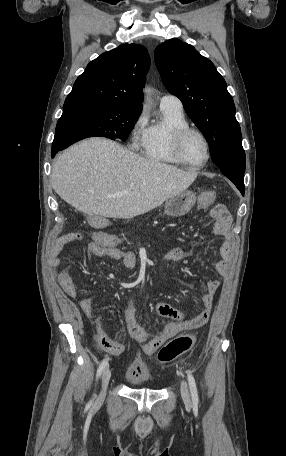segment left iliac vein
Wrapping results in <instances>:
<instances>
[{"instance_id":"obj_1","label":"left iliac vein","mask_w":286,"mask_h":456,"mask_svg":"<svg viewBox=\"0 0 286 456\" xmlns=\"http://www.w3.org/2000/svg\"><path fill=\"white\" fill-rule=\"evenodd\" d=\"M180 390H181V396H182L185 406L188 408H191L192 403H191V398H190L188 385H187L186 381L181 382Z\"/></svg>"}]
</instances>
